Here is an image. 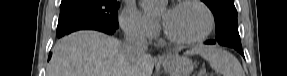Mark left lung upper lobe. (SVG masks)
Here are the masks:
<instances>
[{
	"instance_id": "1",
	"label": "left lung upper lobe",
	"mask_w": 287,
	"mask_h": 76,
	"mask_svg": "<svg viewBox=\"0 0 287 76\" xmlns=\"http://www.w3.org/2000/svg\"><path fill=\"white\" fill-rule=\"evenodd\" d=\"M213 12L216 23V40L224 46H241L237 11L234 0H202Z\"/></svg>"
}]
</instances>
